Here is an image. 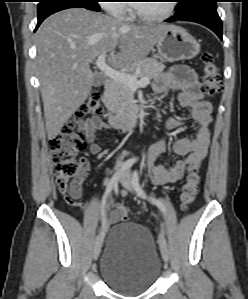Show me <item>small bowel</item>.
<instances>
[{
  "label": "small bowel",
  "instance_id": "c3829d8e",
  "mask_svg": "<svg viewBox=\"0 0 248 299\" xmlns=\"http://www.w3.org/2000/svg\"><path fill=\"white\" fill-rule=\"evenodd\" d=\"M154 93L164 94L168 90L178 92V104L182 108L190 110V122L197 126L193 139L182 137L173 145L174 152L183 156L171 167H166L160 162V157L165 153L166 147L163 138H158L147 151V169L152 183L164 185L180 181L185 174L197 169L203 163L210 143V126L212 122V105L203 99L200 90V81L197 74L186 67H175L169 73L162 74L154 84ZM183 121L168 118L164 123V133L180 128ZM79 129L86 132V147L93 155L102 152V145L97 142L98 133L108 129L110 126L100 118H92L79 121ZM86 169L88 167L87 162ZM128 192L123 191L126 196ZM117 207L109 216V221L115 223L119 220Z\"/></svg>",
  "mask_w": 248,
  "mask_h": 299
}]
</instances>
